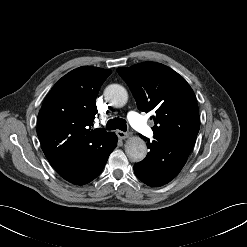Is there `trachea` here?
I'll use <instances>...</instances> for the list:
<instances>
[{
    "label": "trachea",
    "instance_id": "3493384b",
    "mask_svg": "<svg viewBox=\"0 0 247 247\" xmlns=\"http://www.w3.org/2000/svg\"><path fill=\"white\" fill-rule=\"evenodd\" d=\"M117 128L125 132L127 130L126 120L117 117L114 119H110L106 124L107 130H115Z\"/></svg>",
    "mask_w": 247,
    "mask_h": 247
}]
</instances>
